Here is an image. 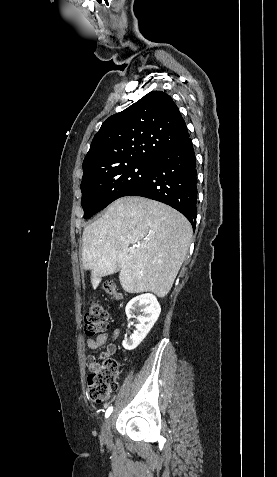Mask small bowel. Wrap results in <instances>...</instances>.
<instances>
[{"mask_svg":"<svg viewBox=\"0 0 277 477\" xmlns=\"http://www.w3.org/2000/svg\"><path fill=\"white\" fill-rule=\"evenodd\" d=\"M119 333H120V330L118 328L113 331L111 335V341L107 344L105 352L103 353V356L113 355L116 352L117 348H116L115 341L117 337L119 336ZM107 340H108V332L106 331L100 334L99 336H97L95 339L88 338L86 340V345L89 349L95 350L101 347L102 345H104L107 342ZM86 361H87V365L90 367L92 364L97 362V358L94 355H89Z\"/></svg>","mask_w":277,"mask_h":477,"instance_id":"obj_1","label":"small bowel"}]
</instances>
